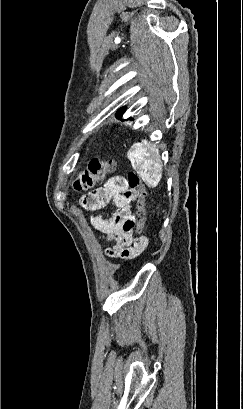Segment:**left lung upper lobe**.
I'll return each instance as SVG.
<instances>
[{
  "mask_svg": "<svg viewBox=\"0 0 243 409\" xmlns=\"http://www.w3.org/2000/svg\"><path fill=\"white\" fill-rule=\"evenodd\" d=\"M125 111V108H121L118 113H123Z\"/></svg>",
  "mask_w": 243,
  "mask_h": 409,
  "instance_id": "5c2ea615",
  "label": "left lung upper lobe"
}]
</instances>
